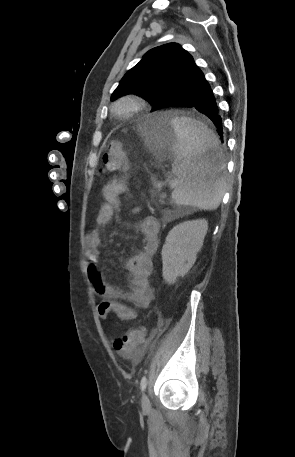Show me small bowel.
Returning <instances> with one entry per match:
<instances>
[{
	"mask_svg": "<svg viewBox=\"0 0 295 457\" xmlns=\"http://www.w3.org/2000/svg\"><path fill=\"white\" fill-rule=\"evenodd\" d=\"M124 191V183L117 180L110 181L103 187L102 194L105 202L99 208L95 226L86 235L88 279L94 292L102 298L97 308L98 314L101 318L115 324L118 321L113 320L111 314H114L120 321H131L138 317L137 311L124 301L142 309H147L153 302L155 293L149 284V276L152 272L153 257L159 245V223L155 218L148 216L138 224V230L142 235V250L123 262V268L130 274L129 290L121 292L105 282L99 268L101 230L111 221L114 212L119 208V197ZM139 354L140 351L136 350L129 356L121 355L126 358H136Z\"/></svg>",
	"mask_w": 295,
	"mask_h": 457,
	"instance_id": "c3829d8e",
	"label": "small bowel"
}]
</instances>
